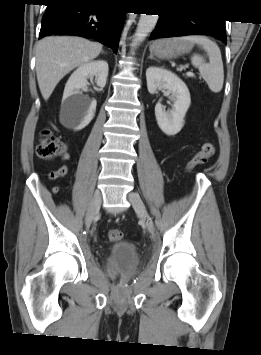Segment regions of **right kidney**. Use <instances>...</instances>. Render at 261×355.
Wrapping results in <instances>:
<instances>
[{
    "mask_svg": "<svg viewBox=\"0 0 261 355\" xmlns=\"http://www.w3.org/2000/svg\"><path fill=\"white\" fill-rule=\"evenodd\" d=\"M108 71L106 61L96 60L80 65L72 73L65 85L61 106L60 117L65 126L79 131L91 122L97 102L82 95L81 89L87 87V79L93 77L97 85L103 88L106 85Z\"/></svg>",
    "mask_w": 261,
    "mask_h": 355,
    "instance_id": "1",
    "label": "right kidney"
}]
</instances>
